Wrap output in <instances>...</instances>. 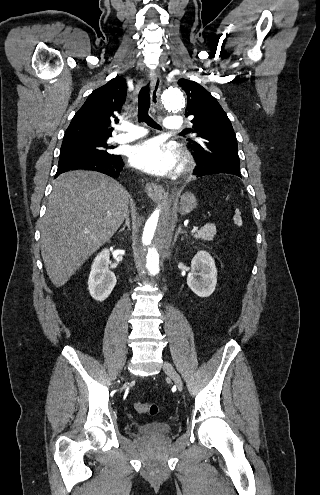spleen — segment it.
<instances>
[{
	"instance_id": "obj_1",
	"label": "spleen",
	"mask_w": 320,
	"mask_h": 495,
	"mask_svg": "<svg viewBox=\"0 0 320 495\" xmlns=\"http://www.w3.org/2000/svg\"><path fill=\"white\" fill-rule=\"evenodd\" d=\"M233 220H234V223L238 226H241L242 225V218H241V214H240V211L237 209L235 210V215L233 217Z\"/></svg>"
}]
</instances>
